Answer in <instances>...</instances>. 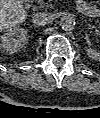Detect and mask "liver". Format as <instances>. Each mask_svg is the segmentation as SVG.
Instances as JSON below:
<instances>
[{
  "label": "liver",
  "mask_w": 100,
  "mask_h": 118,
  "mask_svg": "<svg viewBox=\"0 0 100 118\" xmlns=\"http://www.w3.org/2000/svg\"><path fill=\"white\" fill-rule=\"evenodd\" d=\"M26 12L20 0H1L0 23L1 29L13 27L23 22Z\"/></svg>",
  "instance_id": "obj_1"
}]
</instances>
